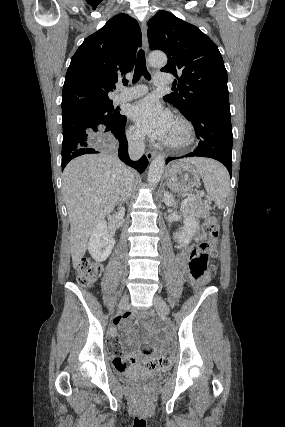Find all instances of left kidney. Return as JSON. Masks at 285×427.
I'll use <instances>...</instances> for the list:
<instances>
[{
  "mask_svg": "<svg viewBox=\"0 0 285 427\" xmlns=\"http://www.w3.org/2000/svg\"><path fill=\"white\" fill-rule=\"evenodd\" d=\"M163 200L167 206H175L177 204V202L173 198V195L168 191L164 192ZM198 224L199 223L194 218H192V215L187 216L185 218L184 228L181 230V232L177 233V238L179 242L183 243L184 245L188 244L193 238L194 233L198 228Z\"/></svg>",
  "mask_w": 285,
  "mask_h": 427,
  "instance_id": "left-kidney-1",
  "label": "left kidney"
}]
</instances>
